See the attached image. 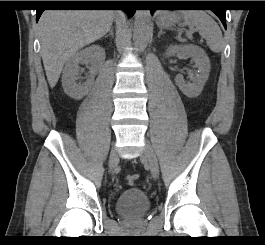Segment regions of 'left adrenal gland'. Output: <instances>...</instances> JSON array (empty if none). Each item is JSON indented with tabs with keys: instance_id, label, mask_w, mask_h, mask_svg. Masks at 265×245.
<instances>
[{
	"instance_id": "left-adrenal-gland-1",
	"label": "left adrenal gland",
	"mask_w": 265,
	"mask_h": 245,
	"mask_svg": "<svg viewBox=\"0 0 265 245\" xmlns=\"http://www.w3.org/2000/svg\"><path fill=\"white\" fill-rule=\"evenodd\" d=\"M165 32H163L162 28H160V31L158 33V37H160L162 34H164Z\"/></svg>"
}]
</instances>
